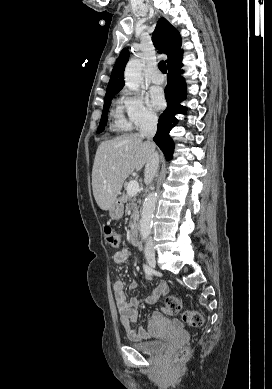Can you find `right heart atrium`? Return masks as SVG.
Instances as JSON below:
<instances>
[{
    "mask_svg": "<svg viewBox=\"0 0 272 389\" xmlns=\"http://www.w3.org/2000/svg\"><path fill=\"white\" fill-rule=\"evenodd\" d=\"M131 128L143 129L156 124L157 116L150 108L144 96L124 90L121 93L120 105Z\"/></svg>",
    "mask_w": 272,
    "mask_h": 389,
    "instance_id": "obj_1",
    "label": "right heart atrium"
}]
</instances>
